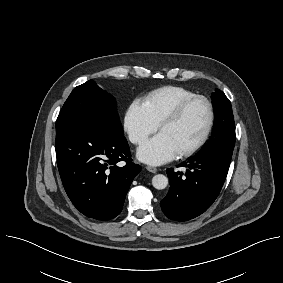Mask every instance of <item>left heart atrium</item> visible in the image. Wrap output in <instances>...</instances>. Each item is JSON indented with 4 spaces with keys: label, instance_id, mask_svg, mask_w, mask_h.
Returning a JSON list of instances; mask_svg holds the SVG:
<instances>
[{
    "label": "left heart atrium",
    "instance_id": "39dd6f15",
    "mask_svg": "<svg viewBox=\"0 0 283 283\" xmlns=\"http://www.w3.org/2000/svg\"><path fill=\"white\" fill-rule=\"evenodd\" d=\"M178 155L177 149L162 133L146 140L137 150L139 160L149 165H162Z\"/></svg>",
    "mask_w": 283,
    "mask_h": 283
}]
</instances>
